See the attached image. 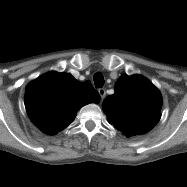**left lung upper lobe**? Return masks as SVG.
<instances>
[{"label":"left lung upper lobe","instance_id":"obj_1","mask_svg":"<svg viewBox=\"0 0 187 187\" xmlns=\"http://www.w3.org/2000/svg\"><path fill=\"white\" fill-rule=\"evenodd\" d=\"M161 106L159 90L140 75H122L115 84V93L103 102L109 123L128 137L152 129L160 120Z\"/></svg>","mask_w":187,"mask_h":187}]
</instances>
